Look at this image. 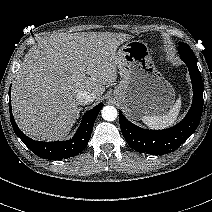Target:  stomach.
Returning a JSON list of instances; mask_svg holds the SVG:
<instances>
[{
    "instance_id": "obj_1",
    "label": "stomach",
    "mask_w": 212,
    "mask_h": 212,
    "mask_svg": "<svg viewBox=\"0 0 212 212\" xmlns=\"http://www.w3.org/2000/svg\"><path fill=\"white\" fill-rule=\"evenodd\" d=\"M121 76L112 96L132 117L167 114L175 92L156 68L145 43L139 40L123 44L117 51Z\"/></svg>"
}]
</instances>
